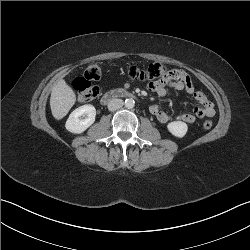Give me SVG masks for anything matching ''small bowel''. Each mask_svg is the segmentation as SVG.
Masks as SVG:
<instances>
[{
	"mask_svg": "<svg viewBox=\"0 0 250 250\" xmlns=\"http://www.w3.org/2000/svg\"><path fill=\"white\" fill-rule=\"evenodd\" d=\"M149 91L155 92L158 96H166L170 90L185 91L190 94L201 107L195 108L191 113H179L171 115L163 110L158 104L150 106V112L161 122L167 123L172 119L180 120L185 123H194L197 119L213 117L215 115L214 103L202 92L195 88L189 75L183 70H170L163 75L157 82L149 80L146 83Z\"/></svg>",
	"mask_w": 250,
	"mask_h": 250,
	"instance_id": "obj_1",
	"label": "small bowel"
}]
</instances>
